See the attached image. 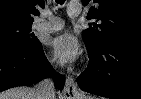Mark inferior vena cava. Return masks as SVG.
<instances>
[{
	"label": "inferior vena cava",
	"mask_w": 141,
	"mask_h": 99,
	"mask_svg": "<svg viewBox=\"0 0 141 99\" xmlns=\"http://www.w3.org/2000/svg\"><path fill=\"white\" fill-rule=\"evenodd\" d=\"M36 99H55L54 82L52 78H46L38 82L34 87Z\"/></svg>",
	"instance_id": "602c4592"
}]
</instances>
